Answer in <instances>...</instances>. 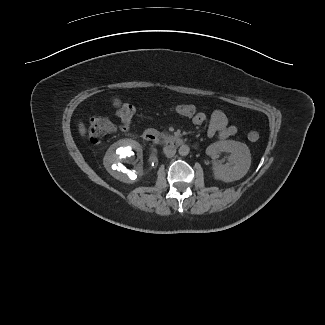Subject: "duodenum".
<instances>
[{"mask_svg": "<svg viewBox=\"0 0 325 325\" xmlns=\"http://www.w3.org/2000/svg\"><path fill=\"white\" fill-rule=\"evenodd\" d=\"M143 139L146 141V142H156L159 140V136L158 134L154 131V130H146L144 131L143 133ZM165 142L171 146V147H183L186 145L185 141L179 137V136H176V135H170L168 137L165 138Z\"/></svg>", "mask_w": 325, "mask_h": 325, "instance_id": "duodenum-1", "label": "duodenum"}]
</instances>
